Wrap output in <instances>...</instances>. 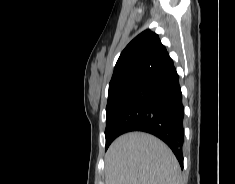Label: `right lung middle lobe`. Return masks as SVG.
<instances>
[{
    "instance_id": "dd1d6c3e",
    "label": "right lung middle lobe",
    "mask_w": 235,
    "mask_h": 184,
    "mask_svg": "<svg viewBox=\"0 0 235 184\" xmlns=\"http://www.w3.org/2000/svg\"><path fill=\"white\" fill-rule=\"evenodd\" d=\"M140 79H132L127 82L125 85L109 91L108 94V102L106 107V129H105V137H106V149L112 143V141L116 138L114 133L110 130V123L116 113L118 106L123 100L126 93L132 88Z\"/></svg>"
}]
</instances>
